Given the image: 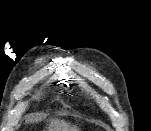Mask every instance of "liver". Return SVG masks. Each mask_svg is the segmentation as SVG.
Wrapping results in <instances>:
<instances>
[{"mask_svg": "<svg viewBox=\"0 0 151 131\" xmlns=\"http://www.w3.org/2000/svg\"><path fill=\"white\" fill-rule=\"evenodd\" d=\"M49 131H78L76 126H71L63 121L57 122L53 128L51 126L48 128Z\"/></svg>", "mask_w": 151, "mask_h": 131, "instance_id": "6515ba94", "label": "liver"}]
</instances>
